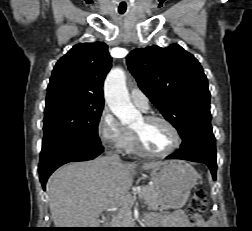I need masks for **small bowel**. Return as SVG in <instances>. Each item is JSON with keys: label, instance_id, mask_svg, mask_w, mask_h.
Wrapping results in <instances>:
<instances>
[{"label": "small bowel", "instance_id": "small-bowel-1", "mask_svg": "<svg viewBox=\"0 0 252 231\" xmlns=\"http://www.w3.org/2000/svg\"><path fill=\"white\" fill-rule=\"evenodd\" d=\"M165 218L169 221H172L176 224V226L180 227V231H189L188 229L191 227L190 222L185 217L182 211H175L165 215ZM196 227H201L203 225V221L194 224Z\"/></svg>", "mask_w": 252, "mask_h": 231}]
</instances>
